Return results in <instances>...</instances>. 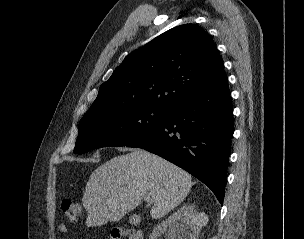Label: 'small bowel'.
Listing matches in <instances>:
<instances>
[{
    "label": "small bowel",
    "mask_w": 304,
    "mask_h": 239,
    "mask_svg": "<svg viewBox=\"0 0 304 239\" xmlns=\"http://www.w3.org/2000/svg\"><path fill=\"white\" fill-rule=\"evenodd\" d=\"M58 230H59V232H60L61 234H66V233H67V227H66V225H64V224H60V225L58 226Z\"/></svg>",
    "instance_id": "obj_1"
}]
</instances>
